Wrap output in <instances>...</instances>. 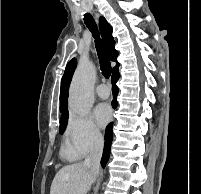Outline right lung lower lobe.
<instances>
[{
    "mask_svg": "<svg viewBox=\"0 0 201 194\" xmlns=\"http://www.w3.org/2000/svg\"><path fill=\"white\" fill-rule=\"evenodd\" d=\"M119 77H120V74H119L118 70L113 71L112 78H111L112 85H113V87H112V92H113L112 106H113V108H115L117 106L116 97H117L119 89L116 86V82L119 79ZM112 126H113V123H110L107 126L106 131H105V145H104L103 156L101 159L102 167H105V165L109 159V155H110V146H111V142L113 139Z\"/></svg>",
    "mask_w": 201,
    "mask_h": 194,
    "instance_id": "right-lung-lower-lobe-1",
    "label": "right lung lower lobe"
}]
</instances>
